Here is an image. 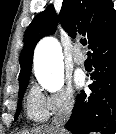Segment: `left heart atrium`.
I'll use <instances>...</instances> for the list:
<instances>
[{
  "instance_id": "obj_1",
  "label": "left heart atrium",
  "mask_w": 116,
  "mask_h": 134,
  "mask_svg": "<svg viewBox=\"0 0 116 134\" xmlns=\"http://www.w3.org/2000/svg\"><path fill=\"white\" fill-rule=\"evenodd\" d=\"M75 81H76V84L78 86H80L82 84V82H83V80H82V78L80 76H77L76 79H75Z\"/></svg>"
}]
</instances>
